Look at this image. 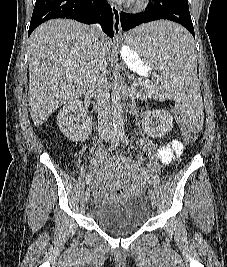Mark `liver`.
Returning a JSON list of instances; mask_svg holds the SVG:
<instances>
[{"label": "liver", "mask_w": 227, "mask_h": 267, "mask_svg": "<svg viewBox=\"0 0 227 267\" xmlns=\"http://www.w3.org/2000/svg\"><path fill=\"white\" fill-rule=\"evenodd\" d=\"M99 42L107 55L109 38L103 36ZM95 53V39L87 25L54 19L35 29L28 46V106L35 126L87 91Z\"/></svg>", "instance_id": "obj_1"}]
</instances>
